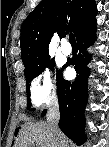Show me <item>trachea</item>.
<instances>
[{"instance_id": "1", "label": "trachea", "mask_w": 109, "mask_h": 147, "mask_svg": "<svg viewBox=\"0 0 109 147\" xmlns=\"http://www.w3.org/2000/svg\"><path fill=\"white\" fill-rule=\"evenodd\" d=\"M69 42L71 43L72 46H77L74 34L69 35Z\"/></svg>"}]
</instances>
